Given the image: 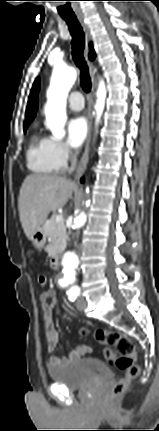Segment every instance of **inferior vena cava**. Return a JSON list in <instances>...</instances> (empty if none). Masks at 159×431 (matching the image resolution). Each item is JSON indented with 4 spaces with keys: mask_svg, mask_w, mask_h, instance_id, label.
Returning <instances> with one entry per match:
<instances>
[{
    "mask_svg": "<svg viewBox=\"0 0 159 431\" xmlns=\"http://www.w3.org/2000/svg\"><path fill=\"white\" fill-rule=\"evenodd\" d=\"M76 164H77V158H76L75 155H73L71 157V166H70V168L68 170L69 174H71L75 170Z\"/></svg>",
    "mask_w": 159,
    "mask_h": 431,
    "instance_id": "obj_1",
    "label": "inferior vena cava"
}]
</instances>
